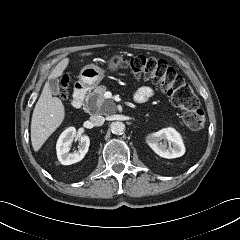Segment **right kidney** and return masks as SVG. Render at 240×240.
<instances>
[{"mask_svg": "<svg viewBox=\"0 0 240 240\" xmlns=\"http://www.w3.org/2000/svg\"><path fill=\"white\" fill-rule=\"evenodd\" d=\"M76 133L77 132L74 127H69L60 135L57 141V157L63 165H70L81 161L84 158L85 154L88 152L90 139L87 135H80V144L78 147V151L74 153H69L70 145L73 139L76 137Z\"/></svg>", "mask_w": 240, "mask_h": 240, "instance_id": "ca27d5eb", "label": "right kidney"}]
</instances>
